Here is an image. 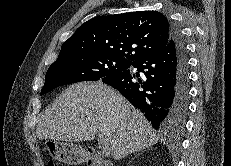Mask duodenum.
<instances>
[{"instance_id":"obj_1","label":"duodenum","mask_w":231,"mask_h":166,"mask_svg":"<svg viewBox=\"0 0 231 166\" xmlns=\"http://www.w3.org/2000/svg\"><path fill=\"white\" fill-rule=\"evenodd\" d=\"M84 163L86 166H111L106 160H104L102 155L91 150L85 153Z\"/></svg>"}]
</instances>
